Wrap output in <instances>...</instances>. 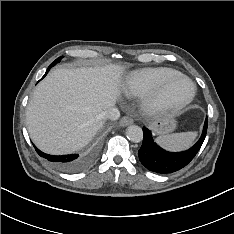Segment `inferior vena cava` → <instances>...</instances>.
<instances>
[{
	"instance_id": "obj_1",
	"label": "inferior vena cava",
	"mask_w": 234,
	"mask_h": 234,
	"mask_svg": "<svg viewBox=\"0 0 234 234\" xmlns=\"http://www.w3.org/2000/svg\"><path fill=\"white\" fill-rule=\"evenodd\" d=\"M100 118L103 120H117L120 117V112L115 107H110L103 111L100 115Z\"/></svg>"
}]
</instances>
